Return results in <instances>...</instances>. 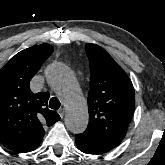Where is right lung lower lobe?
Instances as JSON below:
<instances>
[{
	"mask_svg": "<svg viewBox=\"0 0 165 165\" xmlns=\"http://www.w3.org/2000/svg\"><path fill=\"white\" fill-rule=\"evenodd\" d=\"M39 146V144L37 146H35L33 149H31L30 151H33L35 150L37 147Z\"/></svg>",
	"mask_w": 165,
	"mask_h": 165,
	"instance_id": "obj_1",
	"label": "right lung lower lobe"
}]
</instances>
